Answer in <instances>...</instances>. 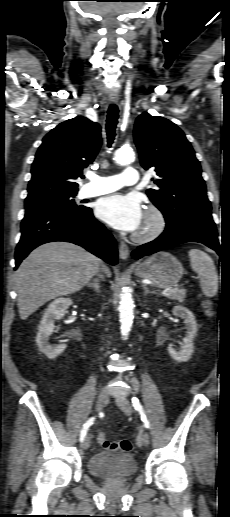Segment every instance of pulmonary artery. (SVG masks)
Segmentation results:
<instances>
[{
	"label": "pulmonary artery",
	"instance_id": "pulmonary-artery-1",
	"mask_svg": "<svg viewBox=\"0 0 230 517\" xmlns=\"http://www.w3.org/2000/svg\"><path fill=\"white\" fill-rule=\"evenodd\" d=\"M139 175L135 168L127 167L120 175L101 176L92 174L89 176V183L84 188L85 197H94L114 192L124 186L137 184Z\"/></svg>",
	"mask_w": 230,
	"mask_h": 517
}]
</instances>
